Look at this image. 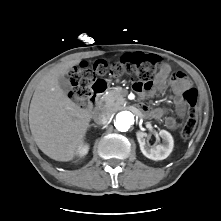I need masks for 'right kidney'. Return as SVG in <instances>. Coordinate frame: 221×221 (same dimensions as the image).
<instances>
[{
  "label": "right kidney",
  "instance_id": "obj_1",
  "mask_svg": "<svg viewBox=\"0 0 221 221\" xmlns=\"http://www.w3.org/2000/svg\"><path fill=\"white\" fill-rule=\"evenodd\" d=\"M88 150H89V145L86 144V145L81 146L78 151L79 156L80 157L85 156L88 153Z\"/></svg>",
  "mask_w": 221,
  "mask_h": 221
}]
</instances>
